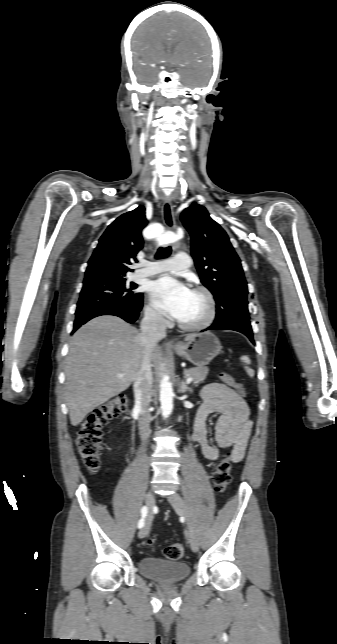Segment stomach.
I'll return each instance as SVG.
<instances>
[{
    "mask_svg": "<svg viewBox=\"0 0 337 644\" xmlns=\"http://www.w3.org/2000/svg\"><path fill=\"white\" fill-rule=\"evenodd\" d=\"M174 350L197 367H204L221 353L222 346L214 334L205 332L195 334L192 340L174 346Z\"/></svg>",
    "mask_w": 337,
    "mask_h": 644,
    "instance_id": "stomach-1",
    "label": "stomach"
}]
</instances>
